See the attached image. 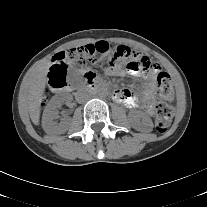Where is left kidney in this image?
<instances>
[{
	"instance_id": "1",
	"label": "left kidney",
	"mask_w": 207,
	"mask_h": 207,
	"mask_svg": "<svg viewBox=\"0 0 207 207\" xmlns=\"http://www.w3.org/2000/svg\"><path fill=\"white\" fill-rule=\"evenodd\" d=\"M131 126L140 132H151L153 129L152 119L142 111H131L128 114Z\"/></svg>"
}]
</instances>
